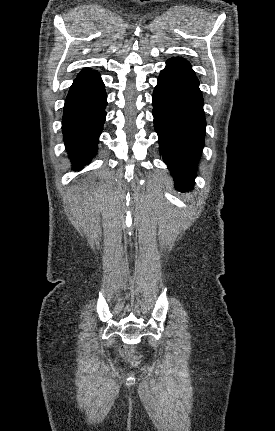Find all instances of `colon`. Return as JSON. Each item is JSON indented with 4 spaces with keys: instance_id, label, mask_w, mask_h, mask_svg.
<instances>
[{
    "instance_id": "colon-1",
    "label": "colon",
    "mask_w": 275,
    "mask_h": 431,
    "mask_svg": "<svg viewBox=\"0 0 275 431\" xmlns=\"http://www.w3.org/2000/svg\"><path fill=\"white\" fill-rule=\"evenodd\" d=\"M123 353L127 356L134 365H138L140 363V359L134 355L133 348L130 345H126L123 347Z\"/></svg>"
}]
</instances>
